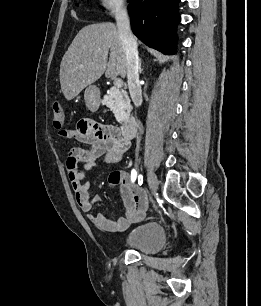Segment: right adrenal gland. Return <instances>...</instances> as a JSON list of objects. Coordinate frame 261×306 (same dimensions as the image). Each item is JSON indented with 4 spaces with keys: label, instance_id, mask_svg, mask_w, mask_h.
I'll use <instances>...</instances> for the list:
<instances>
[{
    "label": "right adrenal gland",
    "instance_id": "right-adrenal-gland-1",
    "mask_svg": "<svg viewBox=\"0 0 261 306\" xmlns=\"http://www.w3.org/2000/svg\"><path fill=\"white\" fill-rule=\"evenodd\" d=\"M139 71H140V73L142 72L141 61H140V65H139Z\"/></svg>",
    "mask_w": 261,
    "mask_h": 306
}]
</instances>
